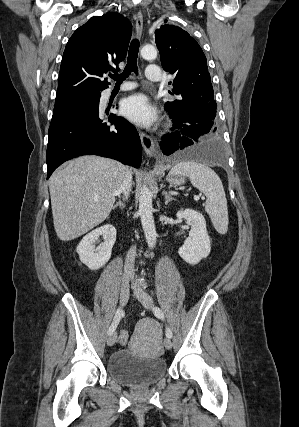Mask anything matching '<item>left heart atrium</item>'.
Segmentation results:
<instances>
[{"mask_svg":"<svg viewBox=\"0 0 299 427\" xmlns=\"http://www.w3.org/2000/svg\"><path fill=\"white\" fill-rule=\"evenodd\" d=\"M121 113L130 121L150 126L157 118L156 109L151 106L145 95L136 94L124 99L121 103Z\"/></svg>","mask_w":299,"mask_h":427,"instance_id":"obj_1","label":"left heart atrium"}]
</instances>
